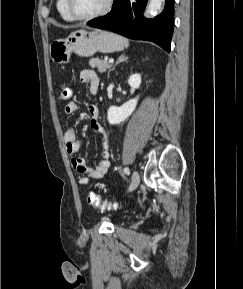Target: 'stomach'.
I'll return each instance as SVG.
<instances>
[{
    "label": "stomach",
    "instance_id": "0dacf381",
    "mask_svg": "<svg viewBox=\"0 0 243 289\" xmlns=\"http://www.w3.org/2000/svg\"><path fill=\"white\" fill-rule=\"evenodd\" d=\"M126 38L103 30L72 32L65 39H57L49 46V56L54 63L66 64L74 52L79 56L88 57L96 52L113 53L128 47Z\"/></svg>",
    "mask_w": 243,
    "mask_h": 289
}]
</instances>
